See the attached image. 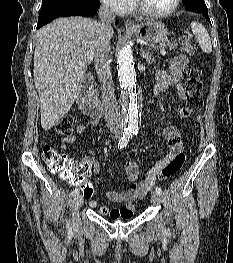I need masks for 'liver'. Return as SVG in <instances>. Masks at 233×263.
I'll return each mask as SVG.
<instances>
[{
	"label": "liver",
	"instance_id": "liver-1",
	"mask_svg": "<svg viewBox=\"0 0 233 263\" xmlns=\"http://www.w3.org/2000/svg\"><path fill=\"white\" fill-rule=\"evenodd\" d=\"M98 38V22L84 17L58 18L37 31L33 71L44 130L57 124L73 105Z\"/></svg>",
	"mask_w": 233,
	"mask_h": 263
}]
</instances>
